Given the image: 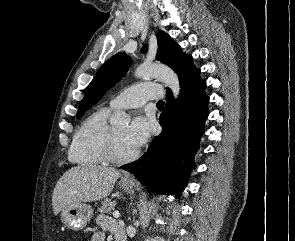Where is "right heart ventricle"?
Masks as SVG:
<instances>
[{
  "label": "right heart ventricle",
  "instance_id": "right-heart-ventricle-1",
  "mask_svg": "<svg viewBox=\"0 0 295 241\" xmlns=\"http://www.w3.org/2000/svg\"><path fill=\"white\" fill-rule=\"evenodd\" d=\"M109 112L108 108H100L81 123L69 149L70 162L79 166H98L107 161L104 145L111 128L107 122Z\"/></svg>",
  "mask_w": 295,
  "mask_h": 241
}]
</instances>
